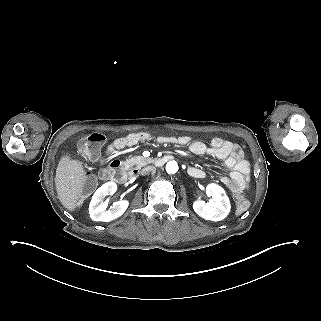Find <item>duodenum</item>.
I'll list each match as a JSON object with an SVG mask.
<instances>
[{
  "instance_id": "1",
  "label": "duodenum",
  "mask_w": 321,
  "mask_h": 321,
  "mask_svg": "<svg viewBox=\"0 0 321 321\" xmlns=\"http://www.w3.org/2000/svg\"><path fill=\"white\" fill-rule=\"evenodd\" d=\"M170 160H172V156L165 155L156 159L155 165L162 166ZM108 173L110 178L117 183H124L128 179V172L124 165L119 161H114L110 164Z\"/></svg>"
}]
</instances>
